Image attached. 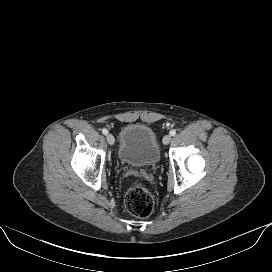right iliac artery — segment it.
Listing matches in <instances>:
<instances>
[{
	"label": "right iliac artery",
	"instance_id": "obj_1",
	"mask_svg": "<svg viewBox=\"0 0 272 272\" xmlns=\"http://www.w3.org/2000/svg\"><path fill=\"white\" fill-rule=\"evenodd\" d=\"M102 133L104 134V135H107L108 134V131H107V129H102Z\"/></svg>",
	"mask_w": 272,
	"mask_h": 272
}]
</instances>
